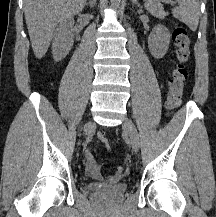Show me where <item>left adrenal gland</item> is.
<instances>
[{
	"label": "left adrenal gland",
	"mask_w": 216,
	"mask_h": 217,
	"mask_svg": "<svg viewBox=\"0 0 216 217\" xmlns=\"http://www.w3.org/2000/svg\"><path fill=\"white\" fill-rule=\"evenodd\" d=\"M131 1L134 5H137V7L142 8V5L137 0H131Z\"/></svg>",
	"instance_id": "1"
}]
</instances>
